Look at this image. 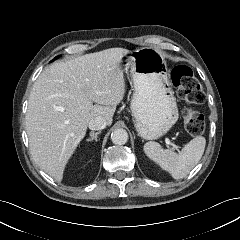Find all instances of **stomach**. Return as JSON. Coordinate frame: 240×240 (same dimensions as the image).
Returning <instances> with one entry per match:
<instances>
[{"label":"stomach","mask_w":240,"mask_h":240,"mask_svg":"<svg viewBox=\"0 0 240 240\" xmlns=\"http://www.w3.org/2000/svg\"><path fill=\"white\" fill-rule=\"evenodd\" d=\"M120 68L133 82L130 109L138 135L145 140L160 138L179 116L164 56L153 48L129 51L121 56Z\"/></svg>","instance_id":"1"}]
</instances>
